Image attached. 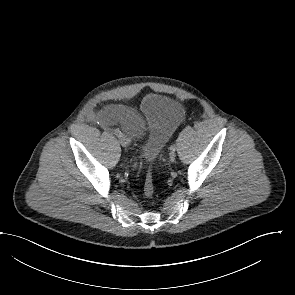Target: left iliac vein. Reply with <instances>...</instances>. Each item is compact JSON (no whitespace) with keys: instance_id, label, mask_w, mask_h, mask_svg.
<instances>
[{"instance_id":"left-iliac-vein-1","label":"left iliac vein","mask_w":295,"mask_h":295,"mask_svg":"<svg viewBox=\"0 0 295 295\" xmlns=\"http://www.w3.org/2000/svg\"><path fill=\"white\" fill-rule=\"evenodd\" d=\"M175 159H176V153H175V151H170V153H169V160H170V162H174Z\"/></svg>"}]
</instances>
